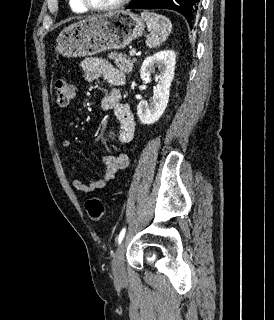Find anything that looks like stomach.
Masks as SVG:
<instances>
[{
	"label": "stomach",
	"instance_id": "1",
	"mask_svg": "<svg viewBox=\"0 0 274 320\" xmlns=\"http://www.w3.org/2000/svg\"><path fill=\"white\" fill-rule=\"evenodd\" d=\"M144 20L132 12L97 14L60 32L56 50L65 58L94 56L105 50H122L144 34Z\"/></svg>",
	"mask_w": 274,
	"mask_h": 320
}]
</instances>
